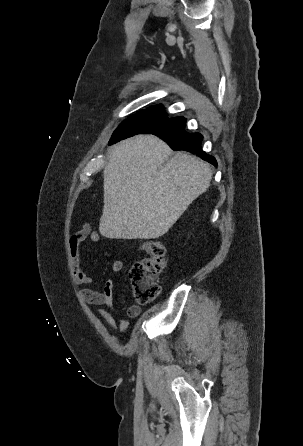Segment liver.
I'll return each instance as SVG.
<instances>
[{
  "label": "liver",
  "mask_w": 303,
  "mask_h": 446,
  "mask_svg": "<svg viewBox=\"0 0 303 446\" xmlns=\"http://www.w3.org/2000/svg\"><path fill=\"white\" fill-rule=\"evenodd\" d=\"M170 154V147L153 135H138L111 148L103 172L101 235L159 238L207 191L209 165L185 152L167 161Z\"/></svg>",
  "instance_id": "1"
}]
</instances>
